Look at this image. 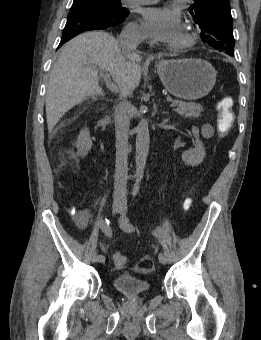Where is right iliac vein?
I'll return each mask as SVG.
<instances>
[{
    "mask_svg": "<svg viewBox=\"0 0 261 340\" xmlns=\"http://www.w3.org/2000/svg\"><path fill=\"white\" fill-rule=\"evenodd\" d=\"M122 209H123V203H122V201H120V200H115V201L113 202V205H112V211H113V213H115V214H116V213H119V212L122 211ZM97 258H98V253H97L96 251L92 252L91 255H90V262H91L92 264L97 263V262H98Z\"/></svg>",
    "mask_w": 261,
    "mask_h": 340,
    "instance_id": "63e3f726",
    "label": "right iliac vein"
}]
</instances>
